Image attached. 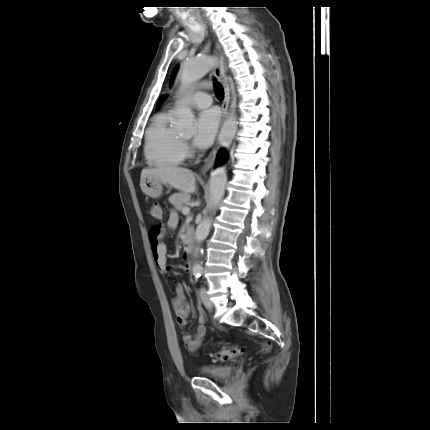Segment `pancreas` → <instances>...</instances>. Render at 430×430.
<instances>
[{
	"label": "pancreas",
	"instance_id": "1",
	"mask_svg": "<svg viewBox=\"0 0 430 430\" xmlns=\"http://www.w3.org/2000/svg\"><path fill=\"white\" fill-rule=\"evenodd\" d=\"M190 201V195L186 193H175L169 197V202L177 209L182 210L184 204Z\"/></svg>",
	"mask_w": 430,
	"mask_h": 430
}]
</instances>
